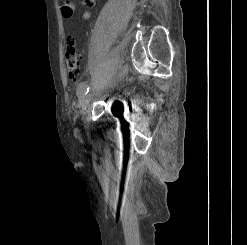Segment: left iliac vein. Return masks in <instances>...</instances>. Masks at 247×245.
<instances>
[{"mask_svg": "<svg viewBox=\"0 0 247 245\" xmlns=\"http://www.w3.org/2000/svg\"><path fill=\"white\" fill-rule=\"evenodd\" d=\"M91 99H92V95L91 94L82 96L81 99H80V103H79L80 108L82 110H86L87 107L90 104Z\"/></svg>", "mask_w": 247, "mask_h": 245, "instance_id": "4c4485c4", "label": "left iliac vein"}]
</instances>
